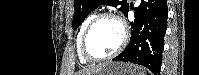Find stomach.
Returning <instances> with one entry per match:
<instances>
[{
  "instance_id": "0dacf381",
  "label": "stomach",
  "mask_w": 199,
  "mask_h": 75,
  "mask_svg": "<svg viewBox=\"0 0 199 75\" xmlns=\"http://www.w3.org/2000/svg\"><path fill=\"white\" fill-rule=\"evenodd\" d=\"M94 75H145V71L129 63L116 62L104 65Z\"/></svg>"
}]
</instances>
